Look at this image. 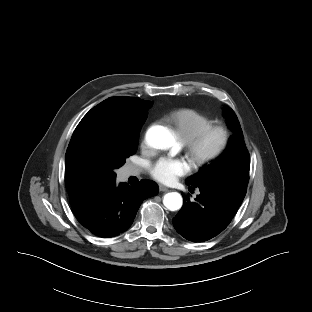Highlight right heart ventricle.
Here are the masks:
<instances>
[{
    "mask_svg": "<svg viewBox=\"0 0 312 312\" xmlns=\"http://www.w3.org/2000/svg\"><path fill=\"white\" fill-rule=\"evenodd\" d=\"M180 138L186 142L212 124V119L205 114L189 108L178 109L168 116Z\"/></svg>",
    "mask_w": 312,
    "mask_h": 312,
    "instance_id": "e07e8e85",
    "label": "right heart ventricle"
}]
</instances>
